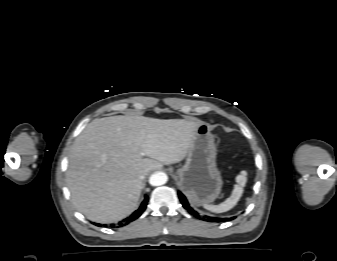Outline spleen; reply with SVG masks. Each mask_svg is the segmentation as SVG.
Masks as SVG:
<instances>
[{"mask_svg":"<svg viewBox=\"0 0 337 261\" xmlns=\"http://www.w3.org/2000/svg\"><path fill=\"white\" fill-rule=\"evenodd\" d=\"M247 181V172L241 171L239 175L236 177V183L234 185V189L230 197H228L224 202L220 203L219 205H209L204 204V208L215 213H222L230 210L233 208L243 194V188Z\"/></svg>","mask_w":337,"mask_h":261,"instance_id":"1","label":"spleen"}]
</instances>
